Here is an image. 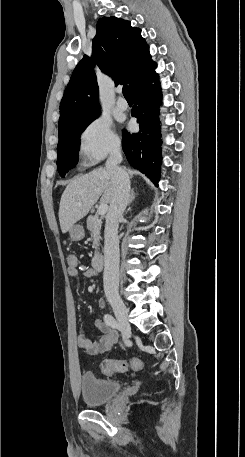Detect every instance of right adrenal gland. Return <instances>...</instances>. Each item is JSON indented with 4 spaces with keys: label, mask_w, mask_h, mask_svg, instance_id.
I'll return each mask as SVG.
<instances>
[{
    "label": "right adrenal gland",
    "mask_w": 245,
    "mask_h": 457,
    "mask_svg": "<svg viewBox=\"0 0 245 457\" xmlns=\"http://www.w3.org/2000/svg\"><path fill=\"white\" fill-rule=\"evenodd\" d=\"M130 192H131V194L129 196L128 204H130V202H132V200H134V198H135L134 188H131Z\"/></svg>",
    "instance_id": "right-adrenal-gland-1"
}]
</instances>
